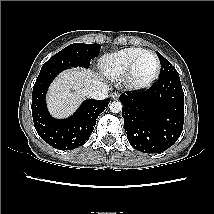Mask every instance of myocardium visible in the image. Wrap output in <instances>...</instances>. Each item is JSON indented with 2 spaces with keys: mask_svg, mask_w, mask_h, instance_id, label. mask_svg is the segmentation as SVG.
<instances>
[{
  "mask_svg": "<svg viewBox=\"0 0 214 214\" xmlns=\"http://www.w3.org/2000/svg\"><path fill=\"white\" fill-rule=\"evenodd\" d=\"M153 55L156 59V69L154 73L144 80H138L135 77V69L144 55ZM161 69V62L158 55L151 50H144L141 54H139L128 67L125 75H124V83L126 87L130 90L139 91L149 88L158 78Z\"/></svg>",
  "mask_w": 214,
  "mask_h": 214,
  "instance_id": "1",
  "label": "myocardium"
}]
</instances>
